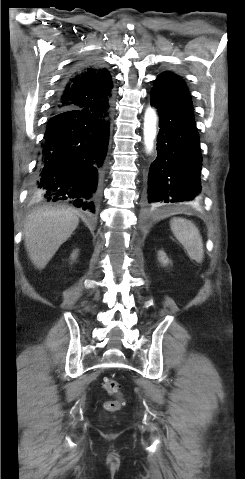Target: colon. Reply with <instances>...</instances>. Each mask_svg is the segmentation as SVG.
<instances>
[{
    "instance_id": "colon-1",
    "label": "colon",
    "mask_w": 245,
    "mask_h": 479,
    "mask_svg": "<svg viewBox=\"0 0 245 479\" xmlns=\"http://www.w3.org/2000/svg\"><path fill=\"white\" fill-rule=\"evenodd\" d=\"M103 388L107 393L117 397L116 400L106 402L105 408L111 412L119 410L123 405L120 384L112 378H105Z\"/></svg>"
}]
</instances>
